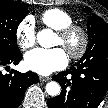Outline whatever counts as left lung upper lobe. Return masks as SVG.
Listing matches in <instances>:
<instances>
[{"label":"left lung upper lobe","mask_w":108,"mask_h":108,"mask_svg":"<svg viewBox=\"0 0 108 108\" xmlns=\"http://www.w3.org/2000/svg\"><path fill=\"white\" fill-rule=\"evenodd\" d=\"M84 11L90 13L91 9L86 7ZM89 35V46L76 65L81 64H94L103 62L108 64V25L99 16L93 15L87 24ZM77 91L69 90L65 94L66 100H74L76 98Z\"/></svg>","instance_id":"5c2ea615"}]
</instances>
